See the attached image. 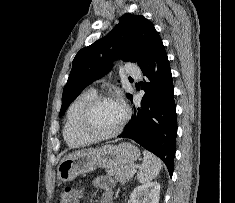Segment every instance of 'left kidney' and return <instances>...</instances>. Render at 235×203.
I'll return each mask as SVG.
<instances>
[{"label": "left kidney", "instance_id": "5707ae66", "mask_svg": "<svg viewBox=\"0 0 235 203\" xmlns=\"http://www.w3.org/2000/svg\"><path fill=\"white\" fill-rule=\"evenodd\" d=\"M160 184L148 182L134 188L130 195L131 203H159Z\"/></svg>", "mask_w": 235, "mask_h": 203}]
</instances>
